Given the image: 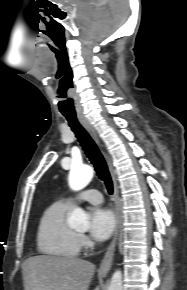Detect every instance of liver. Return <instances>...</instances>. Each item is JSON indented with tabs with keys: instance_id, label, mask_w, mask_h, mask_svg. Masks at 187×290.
<instances>
[{
	"instance_id": "6515ba94",
	"label": "liver",
	"mask_w": 187,
	"mask_h": 290,
	"mask_svg": "<svg viewBox=\"0 0 187 290\" xmlns=\"http://www.w3.org/2000/svg\"><path fill=\"white\" fill-rule=\"evenodd\" d=\"M22 273L24 290H88L95 265L76 257L38 255L23 262Z\"/></svg>"
}]
</instances>
